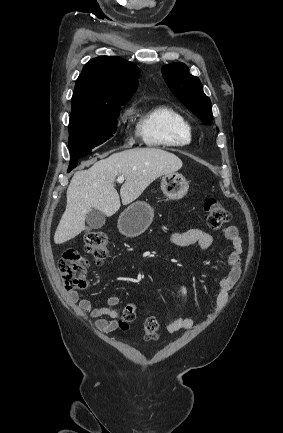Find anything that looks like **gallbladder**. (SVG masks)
<instances>
[{
    "label": "gallbladder",
    "instance_id": "bac80fb5",
    "mask_svg": "<svg viewBox=\"0 0 283 433\" xmlns=\"http://www.w3.org/2000/svg\"><path fill=\"white\" fill-rule=\"evenodd\" d=\"M85 219L88 225L87 231H91V229H101L106 221L104 212L97 210V208H91L88 214H86Z\"/></svg>",
    "mask_w": 283,
    "mask_h": 433
}]
</instances>
